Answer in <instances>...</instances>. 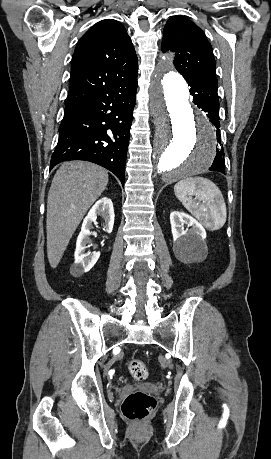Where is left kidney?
Returning <instances> with one entry per match:
<instances>
[{
  "label": "left kidney",
  "mask_w": 271,
  "mask_h": 459,
  "mask_svg": "<svg viewBox=\"0 0 271 459\" xmlns=\"http://www.w3.org/2000/svg\"><path fill=\"white\" fill-rule=\"evenodd\" d=\"M170 224L175 251L183 255L199 251L202 239L206 237V231L197 220L184 212H171ZM185 224H188V228L191 229H184Z\"/></svg>",
  "instance_id": "5707ae66"
}]
</instances>
